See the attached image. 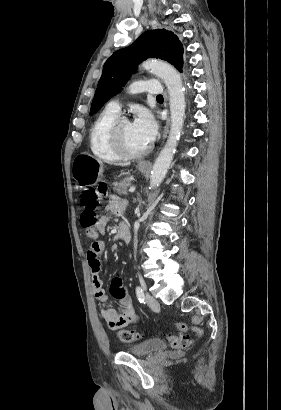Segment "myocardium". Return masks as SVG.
<instances>
[{"mask_svg":"<svg viewBox=\"0 0 281 410\" xmlns=\"http://www.w3.org/2000/svg\"><path fill=\"white\" fill-rule=\"evenodd\" d=\"M129 121L125 116H118L109 130V140L112 147L123 157L127 159L139 158L150 151V147L134 151L129 149L123 142L120 135V126L123 122Z\"/></svg>","mask_w":281,"mask_h":410,"instance_id":"myocardium-1","label":"myocardium"}]
</instances>
